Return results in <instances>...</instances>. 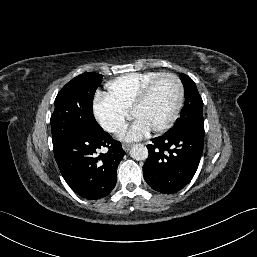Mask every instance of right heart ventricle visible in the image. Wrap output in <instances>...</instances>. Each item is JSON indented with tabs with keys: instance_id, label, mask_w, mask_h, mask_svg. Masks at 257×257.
I'll return each instance as SVG.
<instances>
[{
	"instance_id": "e07e8e85",
	"label": "right heart ventricle",
	"mask_w": 257,
	"mask_h": 257,
	"mask_svg": "<svg viewBox=\"0 0 257 257\" xmlns=\"http://www.w3.org/2000/svg\"><path fill=\"white\" fill-rule=\"evenodd\" d=\"M160 74L161 72L148 71L120 76L107 83V96L128 112L144 87Z\"/></svg>"
}]
</instances>
